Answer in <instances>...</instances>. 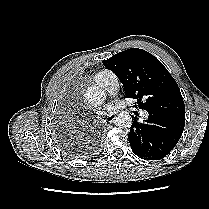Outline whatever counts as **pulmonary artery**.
Listing matches in <instances>:
<instances>
[{
    "mask_svg": "<svg viewBox=\"0 0 209 209\" xmlns=\"http://www.w3.org/2000/svg\"><path fill=\"white\" fill-rule=\"evenodd\" d=\"M95 80L97 84L103 87L110 95H114L119 88L118 78L111 71H102L98 73ZM142 117L146 119L148 117V113L144 111L142 113Z\"/></svg>",
    "mask_w": 209,
    "mask_h": 209,
    "instance_id": "e3ab8cb5",
    "label": "pulmonary artery"
}]
</instances>
